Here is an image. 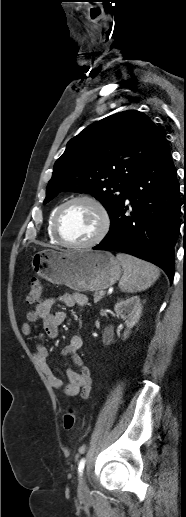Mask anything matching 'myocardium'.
<instances>
[{"label":"myocardium","mask_w":186,"mask_h":517,"mask_svg":"<svg viewBox=\"0 0 186 517\" xmlns=\"http://www.w3.org/2000/svg\"><path fill=\"white\" fill-rule=\"evenodd\" d=\"M76 202H87V203L91 204L96 209V211L98 212L99 217H100V227H99L98 232L90 240H88L86 242H82V243H72V242L65 240L63 238V236L60 232V228H59L60 219H61V216H62L64 210L68 206H70L71 204L76 203ZM110 226H111V218H110L109 212L106 209L105 205L96 197H94L92 195H87V194L74 196V197L70 198L69 200L65 201L63 204H61L58 207V209L53 217V222H52L53 234H54L55 238L58 240V242L65 247L73 248V249L91 248V247L99 244L108 234V232L110 230Z\"/></svg>","instance_id":"obj_1"}]
</instances>
